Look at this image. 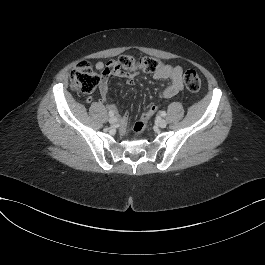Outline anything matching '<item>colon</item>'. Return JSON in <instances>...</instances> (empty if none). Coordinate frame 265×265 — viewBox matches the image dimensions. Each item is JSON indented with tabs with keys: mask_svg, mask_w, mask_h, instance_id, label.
Here are the masks:
<instances>
[{
	"mask_svg": "<svg viewBox=\"0 0 265 265\" xmlns=\"http://www.w3.org/2000/svg\"><path fill=\"white\" fill-rule=\"evenodd\" d=\"M119 67L124 73L134 74L137 72L155 73L164 65L161 60L154 57L136 58L132 55H123L119 59ZM100 77L94 70L93 65L87 61L79 62L71 72V87L85 94L93 92L99 84ZM183 81L187 90L196 92L200 89L201 79L195 70H187L183 75ZM157 108L152 106L134 124V131L142 135L148 121L156 113Z\"/></svg>",
	"mask_w": 265,
	"mask_h": 265,
	"instance_id": "obj_1",
	"label": "colon"
}]
</instances>
